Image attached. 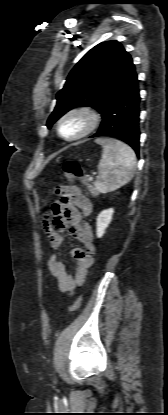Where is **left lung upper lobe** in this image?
Returning <instances> with one entry per match:
<instances>
[{
	"label": "left lung upper lobe",
	"instance_id": "obj_1",
	"mask_svg": "<svg viewBox=\"0 0 168 415\" xmlns=\"http://www.w3.org/2000/svg\"><path fill=\"white\" fill-rule=\"evenodd\" d=\"M134 74L132 58L119 42L96 45L75 65L57 93V104L47 127L75 107L90 106L102 114Z\"/></svg>",
	"mask_w": 168,
	"mask_h": 415
}]
</instances>
